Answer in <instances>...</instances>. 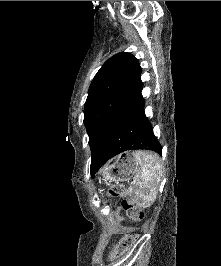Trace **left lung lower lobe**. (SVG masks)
Masks as SVG:
<instances>
[{
	"label": "left lung lower lobe",
	"instance_id": "left-lung-lower-lobe-1",
	"mask_svg": "<svg viewBox=\"0 0 221 266\" xmlns=\"http://www.w3.org/2000/svg\"><path fill=\"white\" fill-rule=\"evenodd\" d=\"M142 85L122 104L91 160V176L112 157L128 150L146 149L159 154L162 147L145 116Z\"/></svg>",
	"mask_w": 221,
	"mask_h": 266
}]
</instances>
